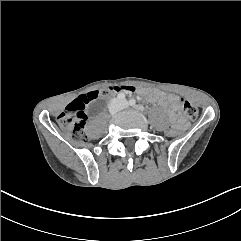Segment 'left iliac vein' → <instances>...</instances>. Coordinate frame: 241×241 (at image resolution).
<instances>
[{
	"label": "left iliac vein",
	"mask_w": 241,
	"mask_h": 241,
	"mask_svg": "<svg viewBox=\"0 0 241 241\" xmlns=\"http://www.w3.org/2000/svg\"><path fill=\"white\" fill-rule=\"evenodd\" d=\"M123 105H124V106H127V102H126V101H124V102H123Z\"/></svg>",
	"instance_id": "4c4485c4"
}]
</instances>
